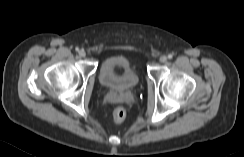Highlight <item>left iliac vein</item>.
Listing matches in <instances>:
<instances>
[{
	"instance_id": "obj_1",
	"label": "left iliac vein",
	"mask_w": 244,
	"mask_h": 157,
	"mask_svg": "<svg viewBox=\"0 0 244 157\" xmlns=\"http://www.w3.org/2000/svg\"><path fill=\"white\" fill-rule=\"evenodd\" d=\"M160 61L162 62V63H165L166 61H167V57L166 56H161L160 57Z\"/></svg>"
}]
</instances>
